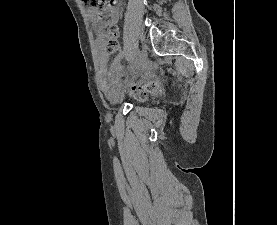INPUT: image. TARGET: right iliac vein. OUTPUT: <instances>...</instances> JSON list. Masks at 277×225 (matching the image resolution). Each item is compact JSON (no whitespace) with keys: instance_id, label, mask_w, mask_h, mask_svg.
I'll return each mask as SVG.
<instances>
[{"instance_id":"obj_1","label":"right iliac vein","mask_w":277,"mask_h":225,"mask_svg":"<svg viewBox=\"0 0 277 225\" xmlns=\"http://www.w3.org/2000/svg\"><path fill=\"white\" fill-rule=\"evenodd\" d=\"M147 62V53L145 50H142L138 54V63H137V68L142 69L145 67Z\"/></svg>"}]
</instances>
